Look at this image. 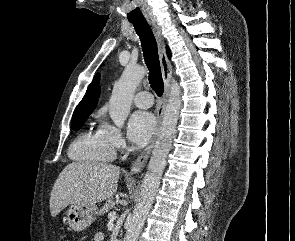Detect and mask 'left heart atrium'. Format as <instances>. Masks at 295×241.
<instances>
[{"label": "left heart atrium", "mask_w": 295, "mask_h": 241, "mask_svg": "<svg viewBox=\"0 0 295 241\" xmlns=\"http://www.w3.org/2000/svg\"><path fill=\"white\" fill-rule=\"evenodd\" d=\"M156 122L152 113L137 111L133 113L128 123V137L136 146H143L151 139Z\"/></svg>", "instance_id": "left-heart-atrium-1"}]
</instances>
